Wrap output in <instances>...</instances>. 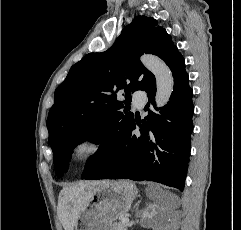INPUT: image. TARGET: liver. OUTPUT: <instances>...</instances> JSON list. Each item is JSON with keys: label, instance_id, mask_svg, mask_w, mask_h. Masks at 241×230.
Wrapping results in <instances>:
<instances>
[{"label": "liver", "instance_id": "liver-1", "mask_svg": "<svg viewBox=\"0 0 241 230\" xmlns=\"http://www.w3.org/2000/svg\"><path fill=\"white\" fill-rule=\"evenodd\" d=\"M86 185L65 188L60 192L58 213L65 230H73L79 213L85 208L92 191H85Z\"/></svg>", "mask_w": 241, "mask_h": 230}]
</instances>
